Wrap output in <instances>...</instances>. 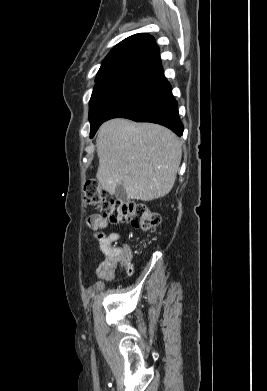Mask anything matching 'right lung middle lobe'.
Wrapping results in <instances>:
<instances>
[{
    "mask_svg": "<svg viewBox=\"0 0 267 391\" xmlns=\"http://www.w3.org/2000/svg\"><path fill=\"white\" fill-rule=\"evenodd\" d=\"M152 78L135 74H115L96 79L89 104L91 138L118 105L149 83Z\"/></svg>",
    "mask_w": 267,
    "mask_h": 391,
    "instance_id": "right-lung-middle-lobe-1",
    "label": "right lung middle lobe"
}]
</instances>
